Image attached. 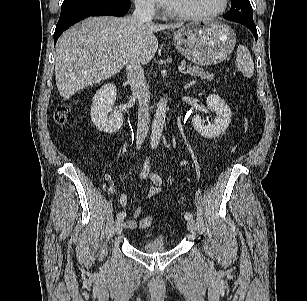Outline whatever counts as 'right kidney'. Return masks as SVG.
Instances as JSON below:
<instances>
[{
	"instance_id": "ca27d5eb",
	"label": "right kidney",
	"mask_w": 307,
	"mask_h": 301,
	"mask_svg": "<svg viewBox=\"0 0 307 301\" xmlns=\"http://www.w3.org/2000/svg\"><path fill=\"white\" fill-rule=\"evenodd\" d=\"M117 91L113 83L103 85L94 95L91 107V121L102 132L115 133L123 125V115L113 110ZM111 116L108 117V114Z\"/></svg>"
}]
</instances>
